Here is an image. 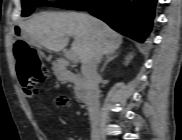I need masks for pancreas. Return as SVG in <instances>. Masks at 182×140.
<instances>
[{
  "mask_svg": "<svg viewBox=\"0 0 182 140\" xmlns=\"http://www.w3.org/2000/svg\"><path fill=\"white\" fill-rule=\"evenodd\" d=\"M68 63L65 61L57 62L53 65L54 74L57 79L62 82H73L74 78L71 72L67 69ZM77 88V86L75 87Z\"/></svg>",
  "mask_w": 182,
  "mask_h": 140,
  "instance_id": "1",
  "label": "pancreas"
}]
</instances>
